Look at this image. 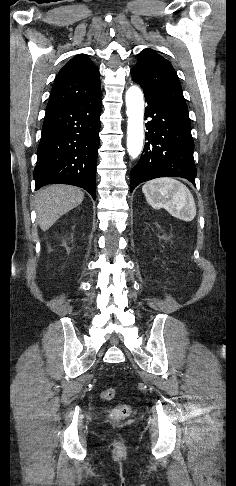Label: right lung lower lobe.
Masks as SVG:
<instances>
[{
  "mask_svg": "<svg viewBox=\"0 0 236 486\" xmlns=\"http://www.w3.org/2000/svg\"><path fill=\"white\" fill-rule=\"evenodd\" d=\"M101 96L46 110L34 169L36 190L48 184L84 188L95 200Z\"/></svg>",
  "mask_w": 236,
  "mask_h": 486,
  "instance_id": "98d812e1",
  "label": "right lung lower lobe"
}]
</instances>
